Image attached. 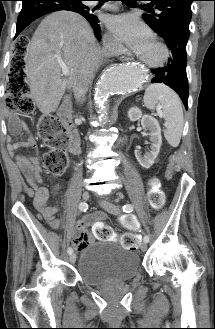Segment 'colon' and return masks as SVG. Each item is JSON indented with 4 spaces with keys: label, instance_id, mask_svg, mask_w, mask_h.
Instances as JSON below:
<instances>
[{
    "label": "colon",
    "instance_id": "colon-1",
    "mask_svg": "<svg viewBox=\"0 0 215 329\" xmlns=\"http://www.w3.org/2000/svg\"><path fill=\"white\" fill-rule=\"evenodd\" d=\"M14 44L12 67L8 77L7 107L28 114L33 111L34 105L24 72V53L28 44H35V37H14ZM38 133L49 148L42 156L44 168L54 177L61 176L68 166V136L62 122L54 115H44L38 124ZM148 196L153 207L160 208L163 205L164 194L156 178L150 180ZM135 223V219L131 217L123 221V225L130 232L125 233L121 241L122 245L129 249H136L140 239L137 234L131 232L141 230V225Z\"/></svg>",
    "mask_w": 215,
    "mask_h": 329
}]
</instances>
